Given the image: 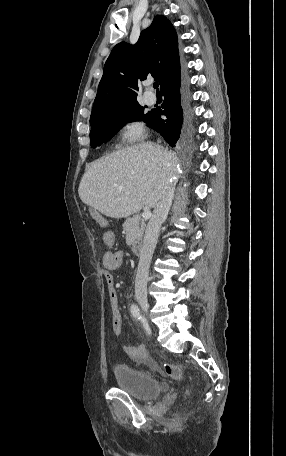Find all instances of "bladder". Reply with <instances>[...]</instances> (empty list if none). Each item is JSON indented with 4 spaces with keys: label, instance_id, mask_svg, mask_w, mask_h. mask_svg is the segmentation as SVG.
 I'll use <instances>...</instances> for the list:
<instances>
[{
    "label": "bladder",
    "instance_id": "1",
    "mask_svg": "<svg viewBox=\"0 0 286 456\" xmlns=\"http://www.w3.org/2000/svg\"><path fill=\"white\" fill-rule=\"evenodd\" d=\"M115 378L119 389L138 399H151L163 392L162 384L154 376L124 363L116 365Z\"/></svg>",
    "mask_w": 286,
    "mask_h": 456
}]
</instances>
